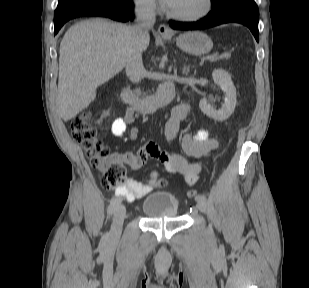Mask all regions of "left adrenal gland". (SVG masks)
Listing matches in <instances>:
<instances>
[{
    "mask_svg": "<svg viewBox=\"0 0 309 288\" xmlns=\"http://www.w3.org/2000/svg\"><path fill=\"white\" fill-rule=\"evenodd\" d=\"M188 67H186V66H184V68H183V73H188ZM174 72H175V74H176V72H177V70L176 69H174Z\"/></svg>",
    "mask_w": 309,
    "mask_h": 288,
    "instance_id": "1",
    "label": "left adrenal gland"
}]
</instances>
